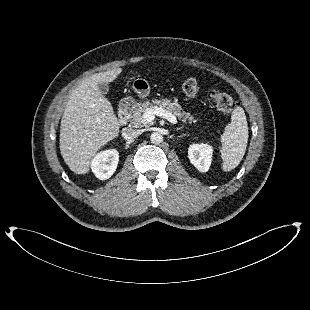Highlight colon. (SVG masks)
<instances>
[{"label": "colon", "mask_w": 310, "mask_h": 310, "mask_svg": "<svg viewBox=\"0 0 310 310\" xmlns=\"http://www.w3.org/2000/svg\"><path fill=\"white\" fill-rule=\"evenodd\" d=\"M181 89L185 95L194 96L199 91V85L195 79L190 78L182 83ZM210 99L225 114L231 113L237 107V101L230 94L219 90H212Z\"/></svg>", "instance_id": "obj_1"}]
</instances>
